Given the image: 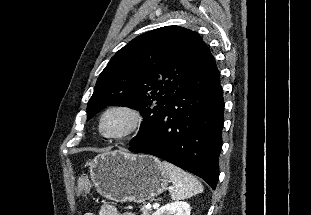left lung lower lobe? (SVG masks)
Segmentation results:
<instances>
[{"mask_svg":"<svg viewBox=\"0 0 311 215\" xmlns=\"http://www.w3.org/2000/svg\"><path fill=\"white\" fill-rule=\"evenodd\" d=\"M223 113L220 73L205 45L148 131L129 150L162 158L201 177L215 189Z\"/></svg>","mask_w":311,"mask_h":215,"instance_id":"obj_1","label":"left lung lower lobe"}]
</instances>
